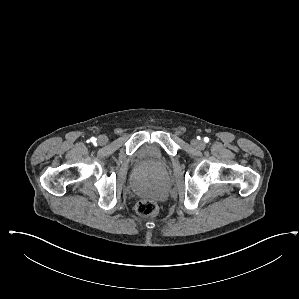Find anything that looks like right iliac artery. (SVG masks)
Wrapping results in <instances>:
<instances>
[{"instance_id": "1", "label": "right iliac artery", "mask_w": 299, "mask_h": 299, "mask_svg": "<svg viewBox=\"0 0 299 299\" xmlns=\"http://www.w3.org/2000/svg\"><path fill=\"white\" fill-rule=\"evenodd\" d=\"M90 140L94 143L96 141V138L92 137Z\"/></svg>"}]
</instances>
